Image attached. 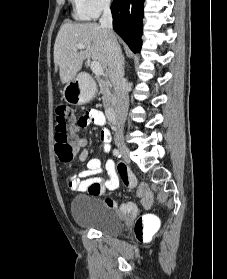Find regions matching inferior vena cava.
<instances>
[{
	"label": "inferior vena cava",
	"instance_id": "obj_1",
	"mask_svg": "<svg viewBox=\"0 0 227 279\" xmlns=\"http://www.w3.org/2000/svg\"><path fill=\"white\" fill-rule=\"evenodd\" d=\"M102 10L103 13L99 22L101 27L105 28L107 31L108 69L109 77L115 90V113L117 121L116 135H119L123 132V126L128 111V83L124 78V66L121 49L112 29V14L109 0L104 1Z\"/></svg>",
	"mask_w": 227,
	"mask_h": 279
}]
</instances>
